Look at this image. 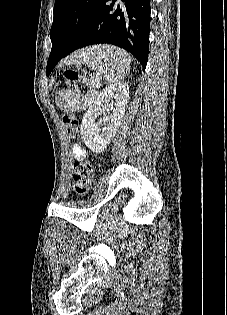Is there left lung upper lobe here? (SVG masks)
<instances>
[{"instance_id":"5c2ea615","label":"left lung upper lobe","mask_w":227,"mask_h":315,"mask_svg":"<svg viewBox=\"0 0 227 315\" xmlns=\"http://www.w3.org/2000/svg\"><path fill=\"white\" fill-rule=\"evenodd\" d=\"M103 0H55L50 30L53 44L63 50L73 44L93 19ZM52 50V49H51Z\"/></svg>"}]
</instances>
